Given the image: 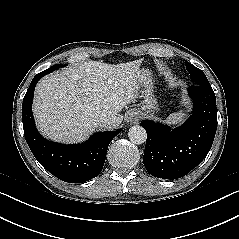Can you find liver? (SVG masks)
I'll return each mask as SVG.
<instances>
[{"instance_id":"obj_1","label":"liver","mask_w":239,"mask_h":239,"mask_svg":"<svg viewBox=\"0 0 239 239\" xmlns=\"http://www.w3.org/2000/svg\"><path fill=\"white\" fill-rule=\"evenodd\" d=\"M141 60L121 64L86 61L76 67L45 76L37 84L33 114L39 131L63 143L85 140L97 127L99 116L117 128L123 121L119 112L135 101L146 78Z\"/></svg>"}]
</instances>
